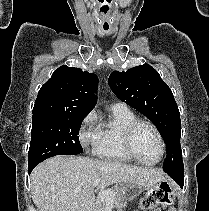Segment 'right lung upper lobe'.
<instances>
[{
  "label": "right lung upper lobe",
  "mask_w": 209,
  "mask_h": 211,
  "mask_svg": "<svg viewBox=\"0 0 209 211\" xmlns=\"http://www.w3.org/2000/svg\"><path fill=\"white\" fill-rule=\"evenodd\" d=\"M97 87L94 73L63 65L41 87L33 117L88 115L97 102Z\"/></svg>",
  "instance_id": "1"
}]
</instances>
